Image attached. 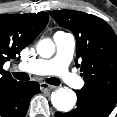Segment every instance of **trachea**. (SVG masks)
I'll return each mask as SVG.
<instances>
[{"mask_svg": "<svg viewBox=\"0 0 117 117\" xmlns=\"http://www.w3.org/2000/svg\"><path fill=\"white\" fill-rule=\"evenodd\" d=\"M13 76L18 79V80H22V81H28L30 79L29 75L27 73L24 72H14ZM46 82L51 84V85H60L61 81L54 77V78H48L46 79Z\"/></svg>", "mask_w": 117, "mask_h": 117, "instance_id": "1", "label": "trachea"}]
</instances>
